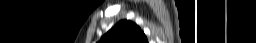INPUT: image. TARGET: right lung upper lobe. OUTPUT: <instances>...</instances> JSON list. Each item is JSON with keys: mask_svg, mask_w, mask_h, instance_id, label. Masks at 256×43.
I'll list each match as a JSON object with an SVG mask.
<instances>
[{"mask_svg": "<svg viewBox=\"0 0 256 43\" xmlns=\"http://www.w3.org/2000/svg\"><path fill=\"white\" fill-rule=\"evenodd\" d=\"M99 43H148V41L139 26L123 20L108 31Z\"/></svg>", "mask_w": 256, "mask_h": 43, "instance_id": "cb5924a9", "label": "right lung upper lobe"}]
</instances>
